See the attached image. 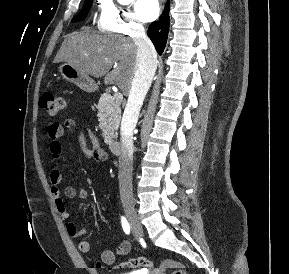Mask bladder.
Instances as JSON below:
<instances>
[{"instance_id":"obj_1","label":"bladder","mask_w":289,"mask_h":274,"mask_svg":"<svg viewBox=\"0 0 289 274\" xmlns=\"http://www.w3.org/2000/svg\"><path fill=\"white\" fill-rule=\"evenodd\" d=\"M120 274H146V273H143L141 271H131V272H123V273H120Z\"/></svg>"}]
</instances>
